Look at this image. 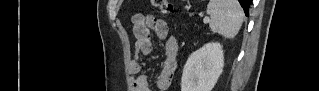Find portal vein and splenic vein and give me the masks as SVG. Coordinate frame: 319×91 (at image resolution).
<instances>
[{
  "instance_id": "portal-vein-and-splenic-vein-1",
  "label": "portal vein and splenic vein",
  "mask_w": 319,
  "mask_h": 91,
  "mask_svg": "<svg viewBox=\"0 0 319 91\" xmlns=\"http://www.w3.org/2000/svg\"><path fill=\"white\" fill-rule=\"evenodd\" d=\"M204 22H205V23L209 22V18H205V19H204Z\"/></svg>"
}]
</instances>
